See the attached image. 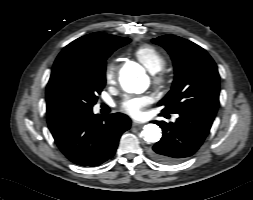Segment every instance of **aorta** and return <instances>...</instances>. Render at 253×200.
<instances>
[{"label": "aorta", "instance_id": "1", "mask_svg": "<svg viewBox=\"0 0 253 200\" xmlns=\"http://www.w3.org/2000/svg\"><path fill=\"white\" fill-rule=\"evenodd\" d=\"M120 82L123 89L128 93H143L149 86V78L141 69L125 71ZM141 136L148 143L158 142L161 138V129L156 124H147L143 127Z\"/></svg>", "mask_w": 253, "mask_h": 200}]
</instances>
